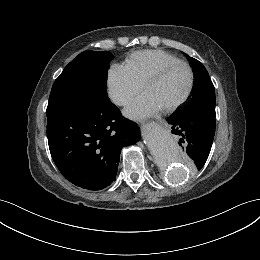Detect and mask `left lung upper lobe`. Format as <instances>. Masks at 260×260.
<instances>
[{"mask_svg": "<svg viewBox=\"0 0 260 260\" xmlns=\"http://www.w3.org/2000/svg\"><path fill=\"white\" fill-rule=\"evenodd\" d=\"M195 73V86L188 104L179 112L204 110L215 112V90L206 68L198 60L189 57Z\"/></svg>", "mask_w": 260, "mask_h": 260, "instance_id": "left-lung-upper-lobe-1", "label": "left lung upper lobe"}]
</instances>
